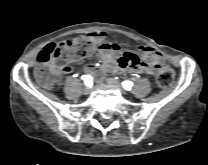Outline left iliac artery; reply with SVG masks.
<instances>
[{
  "label": "left iliac artery",
  "instance_id": "left-iliac-artery-1",
  "mask_svg": "<svg viewBox=\"0 0 208 165\" xmlns=\"http://www.w3.org/2000/svg\"><path fill=\"white\" fill-rule=\"evenodd\" d=\"M123 87L126 89V90H130L131 87L133 86V83L131 81H124L122 83Z\"/></svg>",
  "mask_w": 208,
  "mask_h": 165
}]
</instances>
